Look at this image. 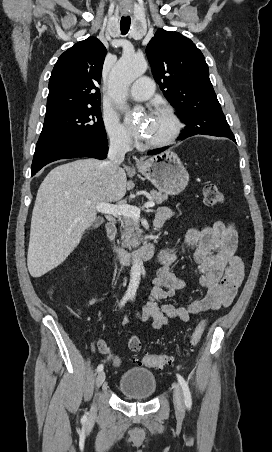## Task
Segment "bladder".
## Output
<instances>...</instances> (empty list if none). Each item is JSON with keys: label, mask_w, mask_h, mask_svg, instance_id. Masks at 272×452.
<instances>
[{"label": "bladder", "mask_w": 272, "mask_h": 452, "mask_svg": "<svg viewBox=\"0 0 272 452\" xmlns=\"http://www.w3.org/2000/svg\"><path fill=\"white\" fill-rule=\"evenodd\" d=\"M157 387L155 374L141 367L129 368L118 382L119 392L130 399H148L157 392Z\"/></svg>", "instance_id": "obj_1"}]
</instances>
